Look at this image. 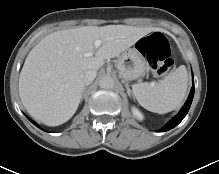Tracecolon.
I'll use <instances>...</instances> for the list:
<instances>
[{"instance_id": "colon-1", "label": "colon", "mask_w": 219, "mask_h": 174, "mask_svg": "<svg viewBox=\"0 0 219 174\" xmlns=\"http://www.w3.org/2000/svg\"><path fill=\"white\" fill-rule=\"evenodd\" d=\"M137 49L145 57L150 70L157 76L166 75L173 66L170 45L166 37L155 32L140 39Z\"/></svg>"}]
</instances>
